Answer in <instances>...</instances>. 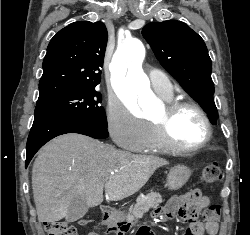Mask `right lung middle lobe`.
<instances>
[{
	"mask_svg": "<svg viewBox=\"0 0 250 235\" xmlns=\"http://www.w3.org/2000/svg\"><path fill=\"white\" fill-rule=\"evenodd\" d=\"M95 86L39 97L34 115L57 114L81 118L107 126L102 97Z\"/></svg>",
	"mask_w": 250,
	"mask_h": 235,
	"instance_id": "dd1d6c3e",
	"label": "right lung middle lobe"
}]
</instances>
